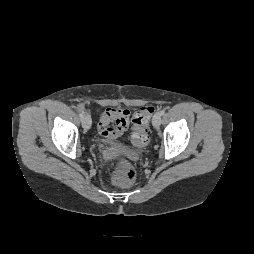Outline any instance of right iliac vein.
<instances>
[{"label": "right iliac vein", "mask_w": 254, "mask_h": 254, "mask_svg": "<svg viewBox=\"0 0 254 254\" xmlns=\"http://www.w3.org/2000/svg\"><path fill=\"white\" fill-rule=\"evenodd\" d=\"M82 126L85 130L90 129V127H91V118H90L89 114L83 115Z\"/></svg>", "instance_id": "obj_1"}]
</instances>
